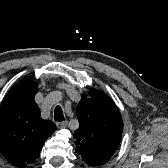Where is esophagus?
<instances>
[{"label": "esophagus", "mask_w": 168, "mask_h": 168, "mask_svg": "<svg viewBox=\"0 0 168 168\" xmlns=\"http://www.w3.org/2000/svg\"><path fill=\"white\" fill-rule=\"evenodd\" d=\"M68 122L67 121H63V122H58L57 123V127L58 128H65L67 126Z\"/></svg>", "instance_id": "obj_1"}]
</instances>
